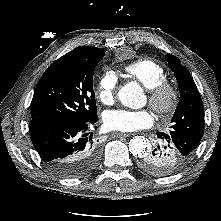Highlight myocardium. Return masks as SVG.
<instances>
[{"label": "myocardium", "mask_w": 221, "mask_h": 221, "mask_svg": "<svg viewBox=\"0 0 221 221\" xmlns=\"http://www.w3.org/2000/svg\"><path fill=\"white\" fill-rule=\"evenodd\" d=\"M149 104L160 117L170 116L179 101L178 86L167 79L148 89Z\"/></svg>", "instance_id": "f54148a6"}]
</instances>
